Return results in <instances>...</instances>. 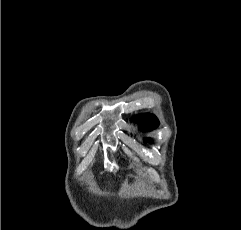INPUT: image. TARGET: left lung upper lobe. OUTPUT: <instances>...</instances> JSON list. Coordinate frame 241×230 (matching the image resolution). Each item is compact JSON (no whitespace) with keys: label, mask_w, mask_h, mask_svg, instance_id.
<instances>
[{"label":"left lung upper lobe","mask_w":241,"mask_h":230,"mask_svg":"<svg viewBox=\"0 0 241 230\" xmlns=\"http://www.w3.org/2000/svg\"><path fill=\"white\" fill-rule=\"evenodd\" d=\"M136 120L139 122V128L145 131L153 130L159 125L157 118L152 114L137 116ZM145 141H149V139H145Z\"/></svg>","instance_id":"1"}]
</instances>
